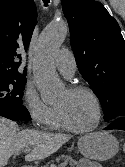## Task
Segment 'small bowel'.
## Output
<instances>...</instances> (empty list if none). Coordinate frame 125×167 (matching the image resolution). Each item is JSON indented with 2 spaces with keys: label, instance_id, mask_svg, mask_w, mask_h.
Masks as SVG:
<instances>
[{
  "label": "small bowel",
  "instance_id": "c3829d8e",
  "mask_svg": "<svg viewBox=\"0 0 125 167\" xmlns=\"http://www.w3.org/2000/svg\"><path fill=\"white\" fill-rule=\"evenodd\" d=\"M77 167H102L99 164L91 163L88 160H81Z\"/></svg>",
  "mask_w": 125,
  "mask_h": 167
}]
</instances>
